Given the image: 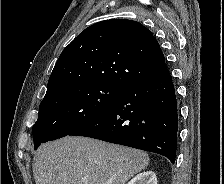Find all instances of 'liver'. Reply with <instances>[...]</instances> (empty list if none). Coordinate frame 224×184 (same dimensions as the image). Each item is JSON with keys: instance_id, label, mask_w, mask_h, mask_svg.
Returning <instances> with one entry per match:
<instances>
[{"instance_id": "1", "label": "liver", "mask_w": 224, "mask_h": 184, "mask_svg": "<svg viewBox=\"0 0 224 184\" xmlns=\"http://www.w3.org/2000/svg\"><path fill=\"white\" fill-rule=\"evenodd\" d=\"M148 164L143 151L66 136L41 145L32 167L36 184H125Z\"/></svg>"}]
</instances>
